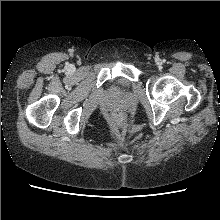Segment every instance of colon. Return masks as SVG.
Here are the masks:
<instances>
[{"instance_id":"5ec220e1","label":"colon","mask_w":220,"mask_h":220,"mask_svg":"<svg viewBox=\"0 0 220 220\" xmlns=\"http://www.w3.org/2000/svg\"><path fill=\"white\" fill-rule=\"evenodd\" d=\"M116 123H117L116 132L118 134H122L124 132V127L122 125V120L120 117H116Z\"/></svg>"}]
</instances>
